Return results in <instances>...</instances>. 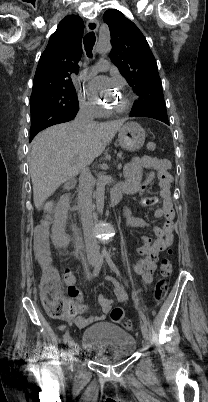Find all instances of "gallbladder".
Returning <instances> with one entry per match:
<instances>
[{
  "label": "gallbladder",
  "instance_id": "bac80fb5",
  "mask_svg": "<svg viewBox=\"0 0 208 402\" xmlns=\"http://www.w3.org/2000/svg\"><path fill=\"white\" fill-rule=\"evenodd\" d=\"M60 187H61V189L66 190V189H68L69 184H68V182L63 181V182H61Z\"/></svg>",
  "mask_w": 208,
  "mask_h": 402
}]
</instances>
